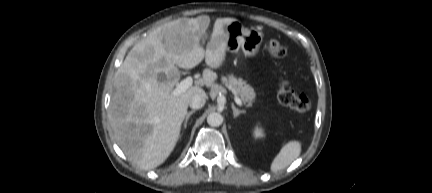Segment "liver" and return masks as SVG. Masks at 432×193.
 <instances>
[{"mask_svg":"<svg viewBox=\"0 0 432 193\" xmlns=\"http://www.w3.org/2000/svg\"><path fill=\"white\" fill-rule=\"evenodd\" d=\"M232 21L216 19L206 50L200 39L209 27L208 16L165 23L138 42L117 70L109 121L117 144L140 168L150 170L165 162L179 139L192 96L205 94L194 85L174 95L177 67L192 69L205 58L209 68L203 70L200 83L212 87L217 75L211 68L225 60V26Z\"/></svg>","mask_w":432,"mask_h":193,"instance_id":"obj_1","label":"liver"}]
</instances>
